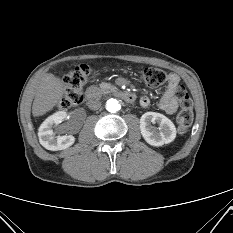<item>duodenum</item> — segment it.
<instances>
[{
	"mask_svg": "<svg viewBox=\"0 0 233 233\" xmlns=\"http://www.w3.org/2000/svg\"><path fill=\"white\" fill-rule=\"evenodd\" d=\"M114 95L122 98L124 101L128 103H132L135 101V95L128 91L116 90L113 92ZM99 95V91L93 88L87 89L85 92V99L88 101L94 100Z\"/></svg>",
	"mask_w": 233,
	"mask_h": 233,
	"instance_id": "1",
	"label": "duodenum"
}]
</instances>
